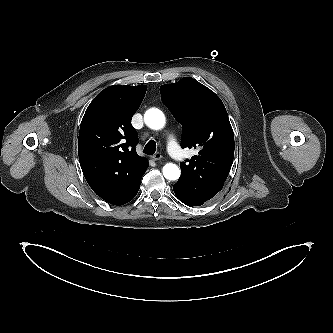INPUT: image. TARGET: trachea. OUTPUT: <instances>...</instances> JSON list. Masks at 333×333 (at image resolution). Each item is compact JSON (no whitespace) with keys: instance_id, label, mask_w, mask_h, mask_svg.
Masks as SVG:
<instances>
[{"instance_id":"trachea-1","label":"trachea","mask_w":333,"mask_h":333,"mask_svg":"<svg viewBox=\"0 0 333 333\" xmlns=\"http://www.w3.org/2000/svg\"><path fill=\"white\" fill-rule=\"evenodd\" d=\"M156 151V143L154 140H150L148 141V143L146 144L143 152L147 155H152L154 154Z\"/></svg>"}]
</instances>
